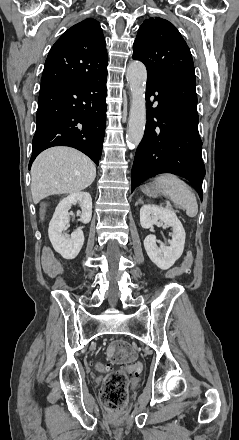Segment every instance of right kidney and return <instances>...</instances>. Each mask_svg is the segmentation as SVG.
Listing matches in <instances>:
<instances>
[{
    "label": "right kidney",
    "instance_id": "ca27d5eb",
    "mask_svg": "<svg viewBox=\"0 0 239 440\" xmlns=\"http://www.w3.org/2000/svg\"><path fill=\"white\" fill-rule=\"evenodd\" d=\"M80 206L82 212L80 216V222L83 224H89L92 218V198L88 192H74L67 198H64L62 202H59L53 218L49 224L48 236L53 242V247L56 253H62L64 260H74L78 256L83 244L84 234L80 228H77L71 238L63 236L62 232L65 230L69 222V212L72 206Z\"/></svg>",
    "mask_w": 239,
    "mask_h": 440
}]
</instances>
